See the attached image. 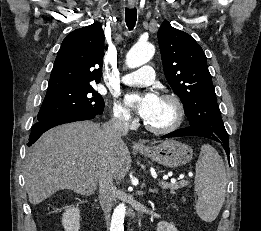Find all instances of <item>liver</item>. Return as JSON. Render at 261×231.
<instances>
[{"mask_svg": "<svg viewBox=\"0 0 261 231\" xmlns=\"http://www.w3.org/2000/svg\"><path fill=\"white\" fill-rule=\"evenodd\" d=\"M102 162L114 179L122 180L132 160L123 141L105 144L99 124L81 121L47 131L26 158L24 176L30 203L39 204L61 189L94 194Z\"/></svg>", "mask_w": 261, "mask_h": 231, "instance_id": "obj_1", "label": "liver"}]
</instances>
